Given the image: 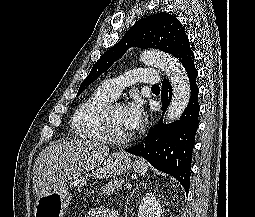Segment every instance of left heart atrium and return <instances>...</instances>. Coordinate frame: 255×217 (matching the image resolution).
Wrapping results in <instances>:
<instances>
[{
    "label": "left heart atrium",
    "instance_id": "obj_1",
    "mask_svg": "<svg viewBox=\"0 0 255 217\" xmlns=\"http://www.w3.org/2000/svg\"><path fill=\"white\" fill-rule=\"evenodd\" d=\"M127 126L130 132L138 130L144 121V111L139 102H133L125 107Z\"/></svg>",
    "mask_w": 255,
    "mask_h": 217
}]
</instances>
